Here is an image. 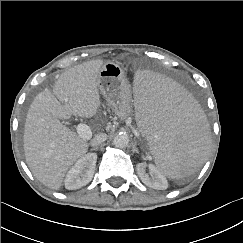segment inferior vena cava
<instances>
[{"instance_id": "602c4592", "label": "inferior vena cava", "mask_w": 243, "mask_h": 243, "mask_svg": "<svg viewBox=\"0 0 243 243\" xmlns=\"http://www.w3.org/2000/svg\"><path fill=\"white\" fill-rule=\"evenodd\" d=\"M106 139H107V134L100 133L91 140V145L97 147L101 143H103Z\"/></svg>"}]
</instances>
